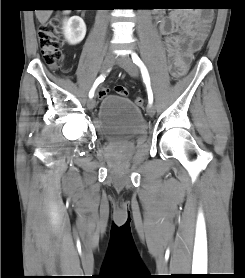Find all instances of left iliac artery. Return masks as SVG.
<instances>
[{"label": "left iliac artery", "instance_id": "left-iliac-artery-1", "mask_svg": "<svg viewBox=\"0 0 245 278\" xmlns=\"http://www.w3.org/2000/svg\"><path fill=\"white\" fill-rule=\"evenodd\" d=\"M132 60L138 67H140L143 80H144V82L146 84V87H147L148 101H149V104H152V102H153V93H152V89H151V86H150V78H149L148 71H147L145 65L143 64V62L141 61V59L138 57L137 54H135V53L132 54Z\"/></svg>", "mask_w": 245, "mask_h": 278}]
</instances>
